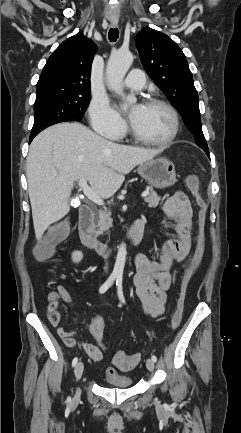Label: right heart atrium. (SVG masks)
Segmentation results:
<instances>
[{"mask_svg":"<svg viewBox=\"0 0 241 433\" xmlns=\"http://www.w3.org/2000/svg\"><path fill=\"white\" fill-rule=\"evenodd\" d=\"M92 128L105 137L119 140L126 132L127 125L120 114L106 99H94L89 107Z\"/></svg>","mask_w":241,"mask_h":433,"instance_id":"d8ad5b80","label":"right heart atrium"}]
</instances>
